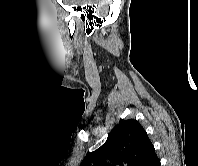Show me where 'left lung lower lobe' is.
Returning <instances> with one entry per match:
<instances>
[{
    "label": "left lung lower lobe",
    "instance_id": "left-lung-lower-lobe-1",
    "mask_svg": "<svg viewBox=\"0 0 198 166\" xmlns=\"http://www.w3.org/2000/svg\"><path fill=\"white\" fill-rule=\"evenodd\" d=\"M147 166H160V160L156 154L152 157Z\"/></svg>",
    "mask_w": 198,
    "mask_h": 166
}]
</instances>
